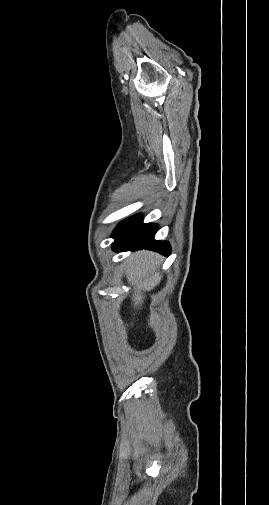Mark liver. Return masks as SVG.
<instances>
[{
  "instance_id": "obj_1",
  "label": "liver",
  "mask_w": 269,
  "mask_h": 505,
  "mask_svg": "<svg viewBox=\"0 0 269 505\" xmlns=\"http://www.w3.org/2000/svg\"><path fill=\"white\" fill-rule=\"evenodd\" d=\"M162 260L160 255L142 250L133 253L125 262L128 283L134 288L132 297L134 307L142 305L144 300L142 291H151L160 283L162 275L159 267Z\"/></svg>"
}]
</instances>
